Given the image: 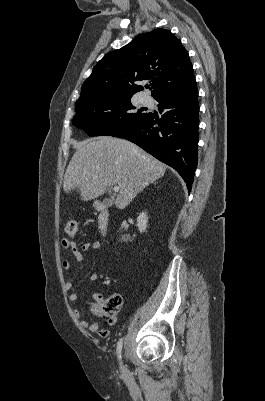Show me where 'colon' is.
Here are the masks:
<instances>
[{"label":"colon","instance_id":"5ec220e1","mask_svg":"<svg viewBox=\"0 0 265 401\" xmlns=\"http://www.w3.org/2000/svg\"><path fill=\"white\" fill-rule=\"evenodd\" d=\"M65 233L68 236V240H71L75 237L77 233V221L74 219L68 220ZM122 305V298L120 295H112L106 299H102L98 301L93 309L94 312L102 317L112 318L114 317L120 310Z\"/></svg>","mask_w":265,"mask_h":401}]
</instances>
